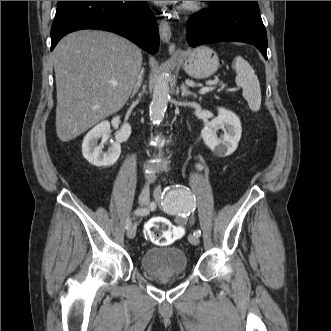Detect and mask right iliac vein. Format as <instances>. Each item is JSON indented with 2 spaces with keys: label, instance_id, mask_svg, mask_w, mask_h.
<instances>
[{
  "label": "right iliac vein",
  "instance_id": "1",
  "mask_svg": "<svg viewBox=\"0 0 331 331\" xmlns=\"http://www.w3.org/2000/svg\"><path fill=\"white\" fill-rule=\"evenodd\" d=\"M149 183H146L145 185H144V187L142 188V190H141V193H140V195H139V204L141 205V206H146V205H148V203H149ZM136 224H134V225H132L129 229H128V231H127V237L129 238V239H132V238H134L135 237V235H136Z\"/></svg>",
  "mask_w": 331,
  "mask_h": 331
}]
</instances>
